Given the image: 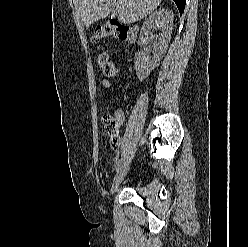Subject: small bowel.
<instances>
[{"mask_svg":"<svg viewBox=\"0 0 248 247\" xmlns=\"http://www.w3.org/2000/svg\"><path fill=\"white\" fill-rule=\"evenodd\" d=\"M101 83L105 88H109L112 85V81L109 79H102ZM115 121L117 126L121 125L124 122V115L122 113H118Z\"/></svg>","mask_w":248,"mask_h":247,"instance_id":"obj_1","label":"small bowel"}]
</instances>
